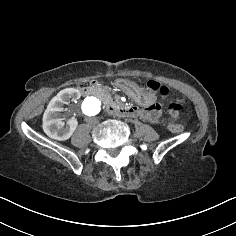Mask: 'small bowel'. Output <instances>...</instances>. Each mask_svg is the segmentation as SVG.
Returning a JSON list of instances; mask_svg holds the SVG:
<instances>
[{
  "label": "small bowel",
  "mask_w": 236,
  "mask_h": 236,
  "mask_svg": "<svg viewBox=\"0 0 236 236\" xmlns=\"http://www.w3.org/2000/svg\"><path fill=\"white\" fill-rule=\"evenodd\" d=\"M142 117L148 119L151 122H156L159 120L161 111L158 105H152L141 110Z\"/></svg>",
  "instance_id": "obj_1"
}]
</instances>
